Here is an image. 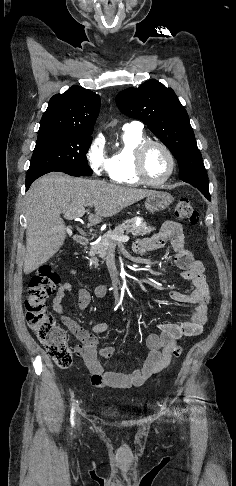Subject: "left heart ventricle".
I'll return each instance as SVG.
<instances>
[{"instance_id": "obj_1", "label": "left heart ventricle", "mask_w": 236, "mask_h": 486, "mask_svg": "<svg viewBox=\"0 0 236 486\" xmlns=\"http://www.w3.org/2000/svg\"><path fill=\"white\" fill-rule=\"evenodd\" d=\"M169 166V159L160 147H149L144 157V168L148 178L155 181L162 179L167 174Z\"/></svg>"}]
</instances>
